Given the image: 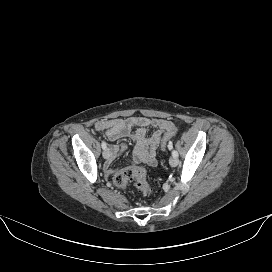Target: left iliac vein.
Masks as SVG:
<instances>
[{"instance_id": "left-iliac-vein-1", "label": "left iliac vein", "mask_w": 272, "mask_h": 272, "mask_svg": "<svg viewBox=\"0 0 272 272\" xmlns=\"http://www.w3.org/2000/svg\"><path fill=\"white\" fill-rule=\"evenodd\" d=\"M178 159H177V157H171L170 158V160H169V163H170V165L172 166V167H175V166H177L178 165Z\"/></svg>"}]
</instances>
